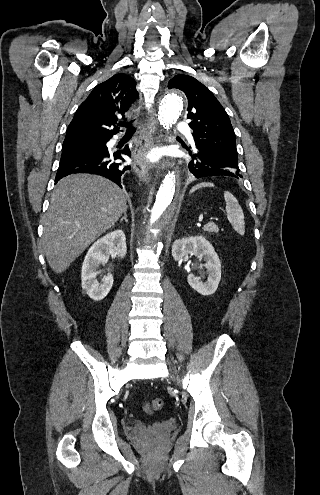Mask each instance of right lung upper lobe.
I'll use <instances>...</instances> for the list:
<instances>
[{
	"mask_svg": "<svg viewBox=\"0 0 320 495\" xmlns=\"http://www.w3.org/2000/svg\"><path fill=\"white\" fill-rule=\"evenodd\" d=\"M135 86V79L123 73L98 84L75 112L64 141L105 139L119 132L118 115H124L138 97Z\"/></svg>",
	"mask_w": 320,
	"mask_h": 495,
	"instance_id": "right-lung-upper-lobe-1",
	"label": "right lung upper lobe"
}]
</instances>
